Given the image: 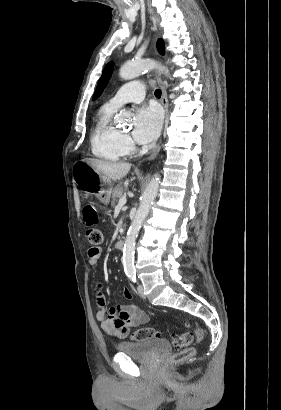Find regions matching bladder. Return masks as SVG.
Here are the masks:
<instances>
[{"mask_svg": "<svg viewBox=\"0 0 281 410\" xmlns=\"http://www.w3.org/2000/svg\"><path fill=\"white\" fill-rule=\"evenodd\" d=\"M119 353L130 357L148 359L170 350V343L163 339H147L138 342H121L116 345Z\"/></svg>", "mask_w": 281, "mask_h": 410, "instance_id": "obj_1", "label": "bladder"}]
</instances>
